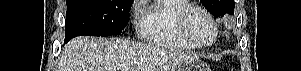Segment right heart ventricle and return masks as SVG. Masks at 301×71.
<instances>
[{
  "label": "right heart ventricle",
  "mask_w": 301,
  "mask_h": 71,
  "mask_svg": "<svg viewBox=\"0 0 301 71\" xmlns=\"http://www.w3.org/2000/svg\"><path fill=\"white\" fill-rule=\"evenodd\" d=\"M189 4L186 0H157L148 6L140 24L143 38L153 45L172 50H195L181 36L176 20L178 11Z\"/></svg>",
  "instance_id": "right-heart-ventricle-1"
}]
</instances>
